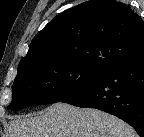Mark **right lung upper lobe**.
Returning <instances> with one entry per match:
<instances>
[{
	"label": "right lung upper lobe",
	"mask_w": 144,
	"mask_h": 137,
	"mask_svg": "<svg viewBox=\"0 0 144 137\" xmlns=\"http://www.w3.org/2000/svg\"><path fill=\"white\" fill-rule=\"evenodd\" d=\"M142 52L141 17L114 0H90L48 23L32 40L19 67L75 61L108 71Z\"/></svg>",
	"instance_id": "right-lung-upper-lobe-1"
}]
</instances>
